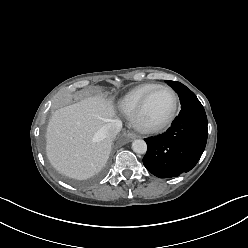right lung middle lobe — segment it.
I'll use <instances>...</instances> for the list:
<instances>
[{
	"mask_svg": "<svg viewBox=\"0 0 248 248\" xmlns=\"http://www.w3.org/2000/svg\"><path fill=\"white\" fill-rule=\"evenodd\" d=\"M107 168L108 166L106 165L98 174L84 181L71 180V179L65 178L64 176H61V177L65 179L66 181L71 182L73 184L88 186L100 180L105 175Z\"/></svg>",
	"mask_w": 248,
	"mask_h": 248,
	"instance_id": "1",
	"label": "right lung middle lobe"
}]
</instances>
